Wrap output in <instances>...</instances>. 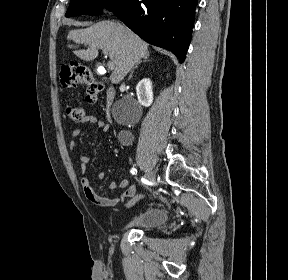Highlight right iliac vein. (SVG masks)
<instances>
[{
  "mask_svg": "<svg viewBox=\"0 0 288 280\" xmlns=\"http://www.w3.org/2000/svg\"><path fill=\"white\" fill-rule=\"evenodd\" d=\"M145 178H146L147 181H149V182H154L156 177H155L154 172H152V171H147V172L145 173Z\"/></svg>",
  "mask_w": 288,
  "mask_h": 280,
  "instance_id": "obj_1",
  "label": "right iliac vein"
}]
</instances>
